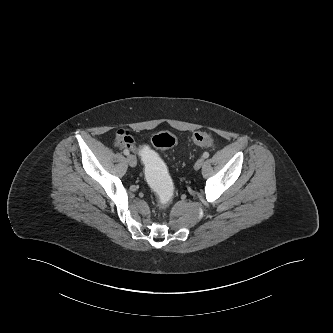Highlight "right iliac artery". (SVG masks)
<instances>
[{
  "instance_id": "obj_1",
  "label": "right iliac artery",
  "mask_w": 333,
  "mask_h": 333,
  "mask_svg": "<svg viewBox=\"0 0 333 333\" xmlns=\"http://www.w3.org/2000/svg\"><path fill=\"white\" fill-rule=\"evenodd\" d=\"M123 153H124V155H126V156L130 154L129 150H127V149H125V150L123 151Z\"/></svg>"
}]
</instances>
